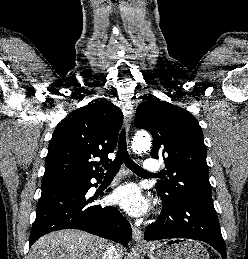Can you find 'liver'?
Instances as JSON below:
<instances>
[{"label": "liver", "mask_w": 248, "mask_h": 259, "mask_svg": "<svg viewBox=\"0 0 248 259\" xmlns=\"http://www.w3.org/2000/svg\"><path fill=\"white\" fill-rule=\"evenodd\" d=\"M107 245L104 239L80 230H59L38 239L28 259H102ZM116 249L122 257L123 248Z\"/></svg>", "instance_id": "obj_1"}]
</instances>
